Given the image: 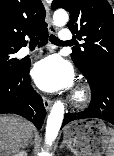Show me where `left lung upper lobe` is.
Masks as SVG:
<instances>
[{"label":"left lung upper lobe","instance_id":"left-lung-upper-lobe-1","mask_svg":"<svg viewBox=\"0 0 114 156\" xmlns=\"http://www.w3.org/2000/svg\"><path fill=\"white\" fill-rule=\"evenodd\" d=\"M51 8L66 9L70 31L85 42L71 54L79 70L87 77L114 73V15L107 0H54Z\"/></svg>","mask_w":114,"mask_h":156}]
</instances>
